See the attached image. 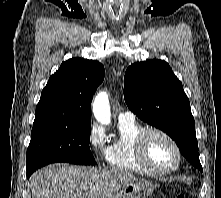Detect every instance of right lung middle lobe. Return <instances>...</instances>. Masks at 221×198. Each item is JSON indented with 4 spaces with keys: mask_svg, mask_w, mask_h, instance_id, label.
Here are the masks:
<instances>
[{
    "mask_svg": "<svg viewBox=\"0 0 221 198\" xmlns=\"http://www.w3.org/2000/svg\"><path fill=\"white\" fill-rule=\"evenodd\" d=\"M91 124L82 127L43 124L32 128L26 154L27 174L54 162L94 165L90 143Z\"/></svg>",
    "mask_w": 221,
    "mask_h": 198,
    "instance_id": "right-lung-middle-lobe-1",
    "label": "right lung middle lobe"
}]
</instances>
